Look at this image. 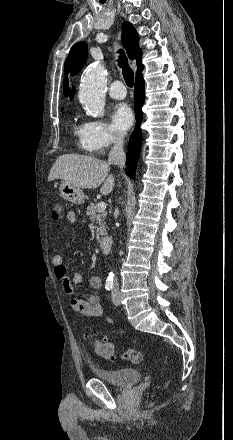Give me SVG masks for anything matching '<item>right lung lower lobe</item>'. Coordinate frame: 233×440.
Returning <instances> with one entry per match:
<instances>
[{
    "label": "right lung lower lobe",
    "mask_w": 233,
    "mask_h": 440,
    "mask_svg": "<svg viewBox=\"0 0 233 440\" xmlns=\"http://www.w3.org/2000/svg\"><path fill=\"white\" fill-rule=\"evenodd\" d=\"M134 98H135V113H136L137 123H136V128L130 138V142L128 145V153L126 160V164L128 166L127 168H125L126 174L130 176L132 179L135 178L136 164L139 158L141 141H142V134L139 129V124L142 119V106L145 100V92H144V80L141 74L136 76Z\"/></svg>",
    "instance_id": "98d812e1"
}]
</instances>
